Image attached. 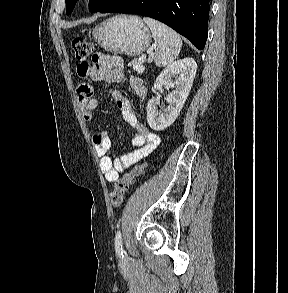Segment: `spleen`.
Returning a JSON list of instances; mask_svg holds the SVG:
<instances>
[{
  "label": "spleen",
  "instance_id": "obj_1",
  "mask_svg": "<svg viewBox=\"0 0 288 293\" xmlns=\"http://www.w3.org/2000/svg\"><path fill=\"white\" fill-rule=\"evenodd\" d=\"M143 20L151 29L152 36L157 43L155 65L158 67L169 66L180 53L182 47L180 36L173 29L159 21L148 17H144Z\"/></svg>",
  "mask_w": 288,
  "mask_h": 293
}]
</instances>
